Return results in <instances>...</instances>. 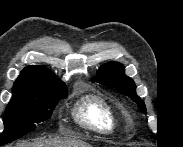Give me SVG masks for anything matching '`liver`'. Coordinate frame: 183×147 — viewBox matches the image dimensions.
I'll list each match as a JSON object with an SVG mask.
<instances>
[{
  "mask_svg": "<svg viewBox=\"0 0 183 147\" xmlns=\"http://www.w3.org/2000/svg\"><path fill=\"white\" fill-rule=\"evenodd\" d=\"M16 147H91L88 143L77 137L53 138L47 140H36L17 144Z\"/></svg>",
  "mask_w": 183,
  "mask_h": 147,
  "instance_id": "6515ba94",
  "label": "liver"
}]
</instances>
